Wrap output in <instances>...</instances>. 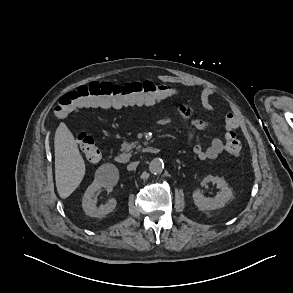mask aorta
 I'll return each instance as SVG.
<instances>
[{"instance_id":"762f6f07","label":"aorta","mask_w":293,"mask_h":293,"mask_svg":"<svg viewBox=\"0 0 293 293\" xmlns=\"http://www.w3.org/2000/svg\"><path fill=\"white\" fill-rule=\"evenodd\" d=\"M149 170L152 174L162 173L164 170V162L160 158L153 159L149 164Z\"/></svg>"}]
</instances>
